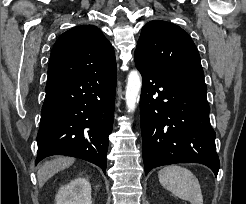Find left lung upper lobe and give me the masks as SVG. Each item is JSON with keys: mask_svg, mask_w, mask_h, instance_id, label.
I'll use <instances>...</instances> for the list:
<instances>
[{"mask_svg": "<svg viewBox=\"0 0 246 204\" xmlns=\"http://www.w3.org/2000/svg\"><path fill=\"white\" fill-rule=\"evenodd\" d=\"M134 60L148 71L204 82L194 42L186 31L170 22L154 20L142 28Z\"/></svg>", "mask_w": 246, "mask_h": 204, "instance_id": "1", "label": "left lung upper lobe"}]
</instances>
